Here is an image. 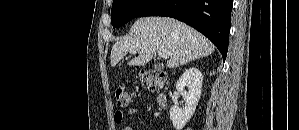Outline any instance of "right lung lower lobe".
I'll return each instance as SVG.
<instances>
[{
  "label": "right lung lower lobe",
  "instance_id": "obj_1",
  "mask_svg": "<svg viewBox=\"0 0 299 130\" xmlns=\"http://www.w3.org/2000/svg\"><path fill=\"white\" fill-rule=\"evenodd\" d=\"M232 0H153L139 15L168 16L200 31L225 60L229 44Z\"/></svg>",
  "mask_w": 299,
  "mask_h": 130
}]
</instances>
